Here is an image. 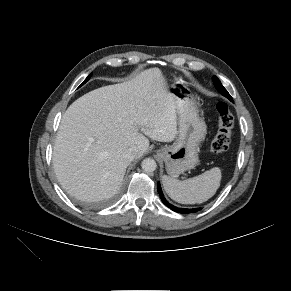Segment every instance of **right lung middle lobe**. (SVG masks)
<instances>
[{"label": "right lung middle lobe", "mask_w": 291, "mask_h": 291, "mask_svg": "<svg viewBox=\"0 0 291 291\" xmlns=\"http://www.w3.org/2000/svg\"><path fill=\"white\" fill-rule=\"evenodd\" d=\"M91 76H92V73L85 79V81L80 86H82L83 84H85L90 79Z\"/></svg>", "instance_id": "obj_1"}]
</instances>
